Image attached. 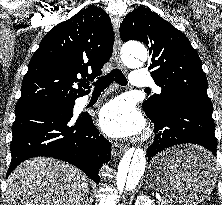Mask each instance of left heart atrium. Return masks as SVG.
Instances as JSON below:
<instances>
[{
  "label": "left heart atrium",
  "mask_w": 222,
  "mask_h": 205,
  "mask_svg": "<svg viewBox=\"0 0 222 205\" xmlns=\"http://www.w3.org/2000/svg\"><path fill=\"white\" fill-rule=\"evenodd\" d=\"M99 124L110 136L128 137L142 130L143 119L131 101L117 98L101 109Z\"/></svg>",
  "instance_id": "obj_1"
}]
</instances>
